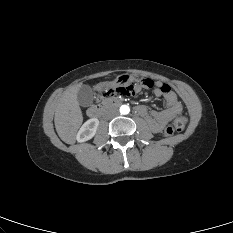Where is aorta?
<instances>
[{"instance_id": "762f6f07", "label": "aorta", "mask_w": 233, "mask_h": 233, "mask_svg": "<svg viewBox=\"0 0 233 233\" xmlns=\"http://www.w3.org/2000/svg\"><path fill=\"white\" fill-rule=\"evenodd\" d=\"M119 110L122 115H127L130 112L128 105H122Z\"/></svg>"}]
</instances>
